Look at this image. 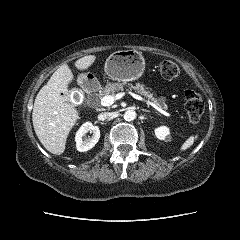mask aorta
<instances>
[{
  "label": "aorta",
  "mask_w": 240,
  "mask_h": 240,
  "mask_svg": "<svg viewBox=\"0 0 240 240\" xmlns=\"http://www.w3.org/2000/svg\"><path fill=\"white\" fill-rule=\"evenodd\" d=\"M136 118V112L134 110H127L124 114L126 121H133Z\"/></svg>",
  "instance_id": "1"
}]
</instances>
